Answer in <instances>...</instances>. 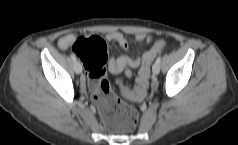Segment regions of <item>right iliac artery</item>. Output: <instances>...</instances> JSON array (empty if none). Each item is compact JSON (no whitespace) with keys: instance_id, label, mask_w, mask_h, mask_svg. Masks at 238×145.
Returning a JSON list of instances; mask_svg holds the SVG:
<instances>
[{"instance_id":"obj_1","label":"right iliac artery","mask_w":238,"mask_h":145,"mask_svg":"<svg viewBox=\"0 0 238 145\" xmlns=\"http://www.w3.org/2000/svg\"><path fill=\"white\" fill-rule=\"evenodd\" d=\"M71 59L75 62L76 61V56L73 54V53H71Z\"/></svg>"}]
</instances>
